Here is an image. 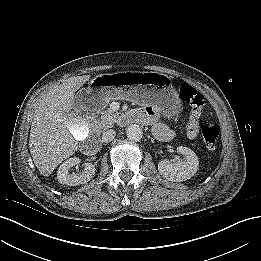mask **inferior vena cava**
Instances as JSON below:
<instances>
[{
    "instance_id": "602c4592",
    "label": "inferior vena cava",
    "mask_w": 261,
    "mask_h": 261,
    "mask_svg": "<svg viewBox=\"0 0 261 261\" xmlns=\"http://www.w3.org/2000/svg\"><path fill=\"white\" fill-rule=\"evenodd\" d=\"M116 132L113 129L107 130L102 135L103 142H111L115 138Z\"/></svg>"
}]
</instances>
